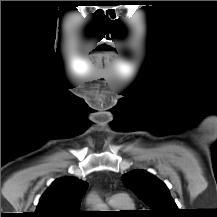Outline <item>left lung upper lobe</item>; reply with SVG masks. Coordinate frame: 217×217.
<instances>
[{
	"label": "left lung upper lobe",
	"mask_w": 217,
	"mask_h": 217,
	"mask_svg": "<svg viewBox=\"0 0 217 217\" xmlns=\"http://www.w3.org/2000/svg\"><path fill=\"white\" fill-rule=\"evenodd\" d=\"M124 185L130 188L151 210L150 217H176L178 207L168 187L157 177L143 170L131 171L122 176Z\"/></svg>",
	"instance_id": "5c2ea615"
}]
</instances>
